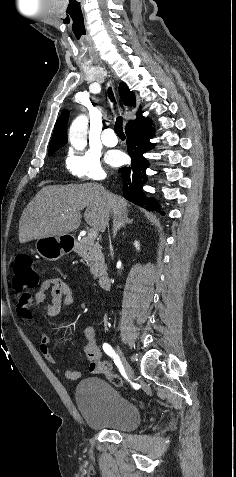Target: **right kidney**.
<instances>
[{"mask_svg": "<svg viewBox=\"0 0 236 477\" xmlns=\"http://www.w3.org/2000/svg\"><path fill=\"white\" fill-rule=\"evenodd\" d=\"M134 246H135V248H136L138 251L140 250V244H139L138 241H135V242H134Z\"/></svg>", "mask_w": 236, "mask_h": 477, "instance_id": "obj_1", "label": "right kidney"}]
</instances>
